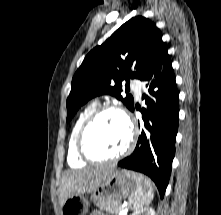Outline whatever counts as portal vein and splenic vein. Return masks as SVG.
I'll return each mask as SVG.
<instances>
[{"mask_svg":"<svg viewBox=\"0 0 221 215\" xmlns=\"http://www.w3.org/2000/svg\"><path fill=\"white\" fill-rule=\"evenodd\" d=\"M125 210L120 211L119 215H124Z\"/></svg>","mask_w":221,"mask_h":215,"instance_id":"portal-vein-and-splenic-vein-1","label":"portal vein and splenic vein"}]
</instances>
